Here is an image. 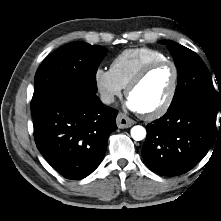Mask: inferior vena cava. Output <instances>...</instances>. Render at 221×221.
I'll return each instance as SVG.
<instances>
[{
  "instance_id": "602c4592",
  "label": "inferior vena cava",
  "mask_w": 221,
  "mask_h": 221,
  "mask_svg": "<svg viewBox=\"0 0 221 221\" xmlns=\"http://www.w3.org/2000/svg\"><path fill=\"white\" fill-rule=\"evenodd\" d=\"M100 99L102 103L108 105L114 102V95L111 93L104 92L101 94Z\"/></svg>"
}]
</instances>
